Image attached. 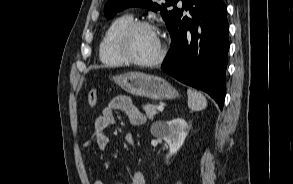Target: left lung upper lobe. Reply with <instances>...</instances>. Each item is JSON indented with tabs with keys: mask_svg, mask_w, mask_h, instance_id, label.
<instances>
[{
	"mask_svg": "<svg viewBox=\"0 0 293 184\" xmlns=\"http://www.w3.org/2000/svg\"><path fill=\"white\" fill-rule=\"evenodd\" d=\"M179 0H166L165 4H158L153 0H109L104 8V13L107 18H111L117 14V12L124 10L128 7H141L147 8L152 11H161V15L166 23L167 28L169 29L174 12L177 9L174 5ZM173 6V9H166L167 7Z\"/></svg>",
	"mask_w": 293,
	"mask_h": 184,
	"instance_id": "left-lung-upper-lobe-1",
	"label": "left lung upper lobe"
}]
</instances>
